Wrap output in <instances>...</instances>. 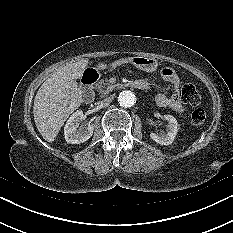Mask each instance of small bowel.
I'll use <instances>...</instances> for the list:
<instances>
[{"label": "small bowel", "instance_id": "1", "mask_svg": "<svg viewBox=\"0 0 233 233\" xmlns=\"http://www.w3.org/2000/svg\"><path fill=\"white\" fill-rule=\"evenodd\" d=\"M161 76L163 80L169 82L172 85L174 92L170 96H167L162 93L157 94L155 99L157 105L163 108H169L177 113H183L185 111V108L181 99L180 79L178 75L171 68H164L161 71ZM145 82L149 87V82Z\"/></svg>", "mask_w": 233, "mask_h": 233}]
</instances>
